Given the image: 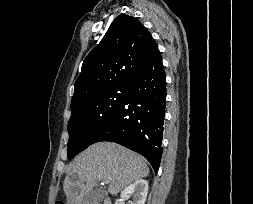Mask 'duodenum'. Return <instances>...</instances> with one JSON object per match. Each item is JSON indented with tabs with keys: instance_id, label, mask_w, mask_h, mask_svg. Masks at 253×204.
<instances>
[{
	"instance_id": "1",
	"label": "duodenum",
	"mask_w": 253,
	"mask_h": 204,
	"mask_svg": "<svg viewBox=\"0 0 253 204\" xmlns=\"http://www.w3.org/2000/svg\"><path fill=\"white\" fill-rule=\"evenodd\" d=\"M102 204H111V201L109 198H105L102 202Z\"/></svg>"
}]
</instances>
